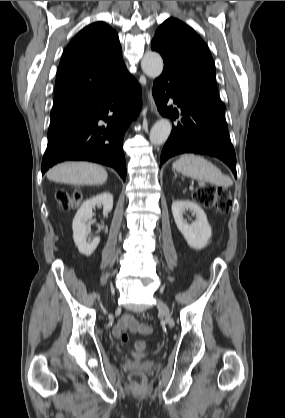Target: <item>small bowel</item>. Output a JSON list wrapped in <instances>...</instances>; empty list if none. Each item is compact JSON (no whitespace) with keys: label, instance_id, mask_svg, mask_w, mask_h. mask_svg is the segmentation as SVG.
<instances>
[{"label":"small bowel","instance_id":"obj_1","mask_svg":"<svg viewBox=\"0 0 285 418\" xmlns=\"http://www.w3.org/2000/svg\"><path fill=\"white\" fill-rule=\"evenodd\" d=\"M151 327L147 324H140L132 315H125L120 322L114 327L113 332L116 336H119L121 332L131 331L139 334H149Z\"/></svg>","mask_w":285,"mask_h":418}]
</instances>
